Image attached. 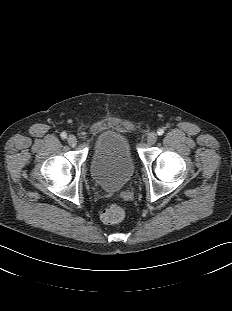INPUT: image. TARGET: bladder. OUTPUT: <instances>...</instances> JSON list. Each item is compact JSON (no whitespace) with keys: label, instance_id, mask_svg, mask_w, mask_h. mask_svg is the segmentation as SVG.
<instances>
[{"label":"bladder","instance_id":"bladder-1","mask_svg":"<svg viewBox=\"0 0 232 311\" xmlns=\"http://www.w3.org/2000/svg\"><path fill=\"white\" fill-rule=\"evenodd\" d=\"M89 168L101 188L114 191L125 186L135 170L127 138L113 130L102 133L95 141Z\"/></svg>","mask_w":232,"mask_h":311}]
</instances>
